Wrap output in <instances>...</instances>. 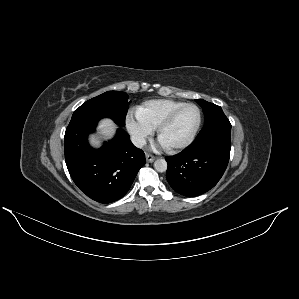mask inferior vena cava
Listing matches in <instances>:
<instances>
[{"mask_svg":"<svg viewBox=\"0 0 299 299\" xmlns=\"http://www.w3.org/2000/svg\"><path fill=\"white\" fill-rule=\"evenodd\" d=\"M131 141L134 144V146H136L138 148H142L143 146L146 145V139L139 135L131 136Z\"/></svg>","mask_w":299,"mask_h":299,"instance_id":"1","label":"inferior vena cava"}]
</instances>
